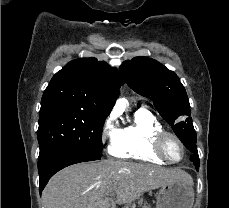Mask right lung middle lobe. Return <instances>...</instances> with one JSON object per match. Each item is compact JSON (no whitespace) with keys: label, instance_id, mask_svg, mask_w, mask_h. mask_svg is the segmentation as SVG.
<instances>
[{"label":"right lung middle lobe","instance_id":"1","mask_svg":"<svg viewBox=\"0 0 229 208\" xmlns=\"http://www.w3.org/2000/svg\"><path fill=\"white\" fill-rule=\"evenodd\" d=\"M105 119L71 103L41 104L37 131L38 162L64 147H75L102 156L101 133Z\"/></svg>","mask_w":229,"mask_h":208}]
</instances>
